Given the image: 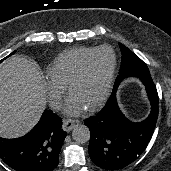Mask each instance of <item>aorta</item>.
<instances>
[{
  "label": "aorta",
  "instance_id": "1",
  "mask_svg": "<svg viewBox=\"0 0 171 171\" xmlns=\"http://www.w3.org/2000/svg\"><path fill=\"white\" fill-rule=\"evenodd\" d=\"M72 138L78 143H86L90 140V130L86 125L77 124L72 130Z\"/></svg>",
  "mask_w": 171,
  "mask_h": 171
}]
</instances>
